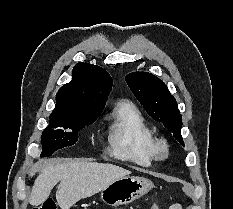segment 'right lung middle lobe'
<instances>
[{"instance_id": "1", "label": "right lung middle lobe", "mask_w": 233, "mask_h": 209, "mask_svg": "<svg viewBox=\"0 0 233 209\" xmlns=\"http://www.w3.org/2000/svg\"><path fill=\"white\" fill-rule=\"evenodd\" d=\"M103 110L77 109L50 115L49 126L42 133L41 157L51 156L58 149L71 146L78 140V132L92 124Z\"/></svg>"}]
</instances>
